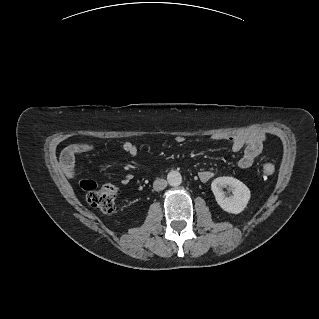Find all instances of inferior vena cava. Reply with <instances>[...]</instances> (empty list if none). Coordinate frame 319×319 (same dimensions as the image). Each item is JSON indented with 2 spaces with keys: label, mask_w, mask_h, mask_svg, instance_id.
<instances>
[{
  "label": "inferior vena cava",
  "mask_w": 319,
  "mask_h": 319,
  "mask_svg": "<svg viewBox=\"0 0 319 319\" xmlns=\"http://www.w3.org/2000/svg\"><path fill=\"white\" fill-rule=\"evenodd\" d=\"M167 187V181L162 178H157L153 183V188L155 191H162Z\"/></svg>",
  "instance_id": "1"
}]
</instances>
